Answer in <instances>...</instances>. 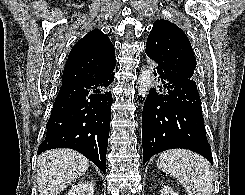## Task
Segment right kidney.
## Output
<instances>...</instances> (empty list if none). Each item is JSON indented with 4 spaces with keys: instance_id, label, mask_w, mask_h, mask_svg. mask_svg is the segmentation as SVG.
<instances>
[{
    "instance_id": "obj_1",
    "label": "right kidney",
    "mask_w": 245,
    "mask_h": 195,
    "mask_svg": "<svg viewBox=\"0 0 245 195\" xmlns=\"http://www.w3.org/2000/svg\"><path fill=\"white\" fill-rule=\"evenodd\" d=\"M67 195H94V184L92 182H80L73 185Z\"/></svg>"
}]
</instances>
